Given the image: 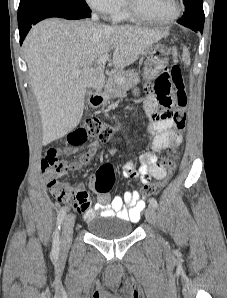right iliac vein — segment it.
Segmentation results:
<instances>
[{
	"label": "right iliac vein",
	"mask_w": 227,
	"mask_h": 298,
	"mask_svg": "<svg viewBox=\"0 0 227 298\" xmlns=\"http://www.w3.org/2000/svg\"><path fill=\"white\" fill-rule=\"evenodd\" d=\"M74 223L75 216L73 214H68L64 218L61 237V246L63 249H66L71 243Z\"/></svg>",
	"instance_id": "obj_1"
}]
</instances>
